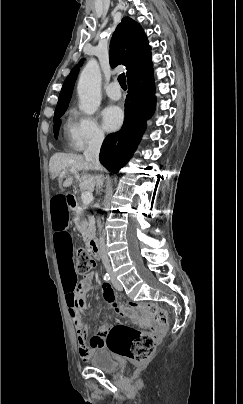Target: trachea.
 <instances>
[{
  "mask_svg": "<svg viewBox=\"0 0 243 404\" xmlns=\"http://www.w3.org/2000/svg\"><path fill=\"white\" fill-rule=\"evenodd\" d=\"M118 82H119V84L121 85V88H122L123 90H126L127 84H126V77H125V74H124V73H121V74L118 76Z\"/></svg>",
  "mask_w": 243,
  "mask_h": 404,
  "instance_id": "obj_1",
  "label": "trachea"
}]
</instances>
